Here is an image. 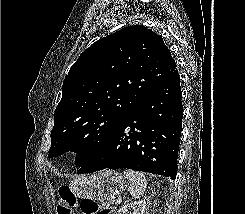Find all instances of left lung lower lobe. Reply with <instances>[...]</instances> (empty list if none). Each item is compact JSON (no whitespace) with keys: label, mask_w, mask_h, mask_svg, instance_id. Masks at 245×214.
<instances>
[{"label":"left lung lower lobe","mask_w":245,"mask_h":214,"mask_svg":"<svg viewBox=\"0 0 245 214\" xmlns=\"http://www.w3.org/2000/svg\"><path fill=\"white\" fill-rule=\"evenodd\" d=\"M181 98L180 77L175 69L77 173L124 168L174 180L183 118Z\"/></svg>","instance_id":"obj_1"}]
</instances>
